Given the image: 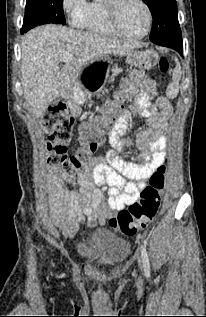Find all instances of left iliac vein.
Instances as JSON below:
<instances>
[{
	"label": "left iliac vein",
	"mask_w": 206,
	"mask_h": 317,
	"mask_svg": "<svg viewBox=\"0 0 206 317\" xmlns=\"http://www.w3.org/2000/svg\"><path fill=\"white\" fill-rule=\"evenodd\" d=\"M139 267L142 269L143 268V263H142V260L139 259Z\"/></svg>",
	"instance_id": "4c4485c4"
}]
</instances>
